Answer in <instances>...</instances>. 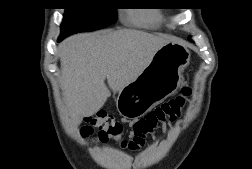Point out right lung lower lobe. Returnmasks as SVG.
<instances>
[{"label": "right lung lower lobe", "mask_w": 252, "mask_h": 169, "mask_svg": "<svg viewBox=\"0 0 252 169\" xmlns=\"http://www.w3.org/2000/svg\"><path fill=\"white\" fill-rule=\"evenodd\" d=\"M64 38H65V37L61 35V36L59 37L58 41H61V40L64 39Z\"/></svg>", "instance_id": "right-lung-lower-lobe-1"}]
</instances>
